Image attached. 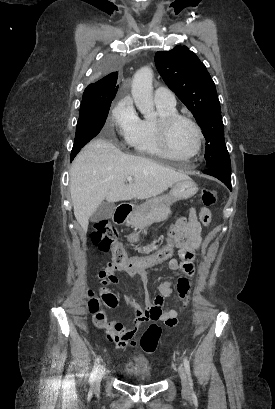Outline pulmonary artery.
<instances>
[{
	"label": "pulmonary artery",
	"instance_id": "pulmonary-artery-1",
	"mask_svg": "<svg viewBox=\"0 0 275 409\" xmlns=\"http://www.w3.org/2000/svg\"><path fill=\"white\" fill-rule=\"evenodd\" d=\"M154 102L156 106L175 108L176 98L175 95L169 91L167 85H156L154 93Z\"/></svg>",
	"mask_w": 275,
	"mask_h": 409
}]
</instances>
